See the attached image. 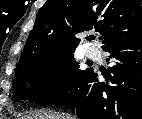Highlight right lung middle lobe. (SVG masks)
I'll use <instances>...</instances> for the list:
<instances>
[{
    "label": "right lung middle lobe",
    "instance_id": "dd1d6c3e",
    "mask_svg": "<svg viewBox=\"0 0 142 119\" xmlns=\"http://www.w3.org/2000/svg\"><path fill=\"white\" fill-rule=\"evenodd\" d=\"M73 52L74 50L45 55L17 69L13 81L15 99L44 105L65 99L90 70L79 69Z\"/></svg>",
    "mask_w": 142,
    "mask_h": 119
}]
</instances>
